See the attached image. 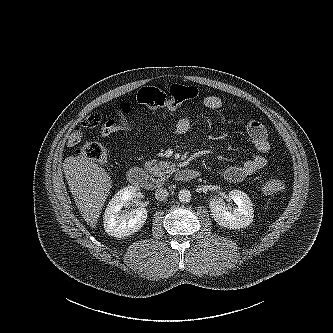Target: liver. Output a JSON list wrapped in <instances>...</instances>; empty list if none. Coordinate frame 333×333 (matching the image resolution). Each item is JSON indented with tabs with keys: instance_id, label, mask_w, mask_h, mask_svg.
Instances as JSON below:
<instances>
[{
	"instance_id": "1",
	"label": "liver",
	"mask_w": 333,
	"mask_h": 333,
	"mask_svg": "<svg viewBox=\"0 0 333 333\" xmlns=\"http://www.w3.org/2000/svg\"><path fill=\"white\" fill-rule=\"evenodd\" d=\"M63 170L78 210L87 224L95 228L112 188L109 174L85 153L67 157Z\"/></svg>"
}]
</instances>
